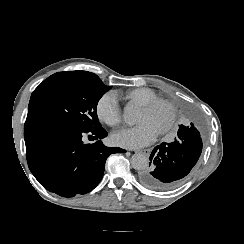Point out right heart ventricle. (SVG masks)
<instances>
[{
    "instance_id": "obj_1",
    "label": "right heart ventricle",
    "mask_w": 244,
    "mask_h": 244,
    "mask_svg": "<svg viewBox=\"0 0 244 244\" xmlns=\"http://www.w3.org/2000/svg\"><path fill=\"white\" fill-rule=\"evenodd\" d=\"M115 96L119 99L129 100L131 103H136L138 106L159 101L157 95L148 88L119 90L115 92Z\"/></svg>"
}]
</instances>
